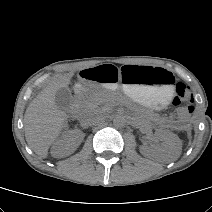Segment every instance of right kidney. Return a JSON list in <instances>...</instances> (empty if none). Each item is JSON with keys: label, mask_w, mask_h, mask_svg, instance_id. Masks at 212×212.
<instances>
[{"label": "right kidney", "mask_w": 212, "mask_h": 212, "mask_svg": "<svg viewBox=\"0 0 212 212\" xmlns=\"http://www.w3.org/2000/svg\"><path fill=\"white\" fill-rule=\"evenodd\" d=\"M84 139V133L80 130L65 131L52 146L51 154L54 158H63L71 155Z\"/></svg>", "instance_id": "obj_1"}]
</instances>
